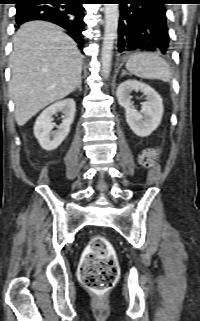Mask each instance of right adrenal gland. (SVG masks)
Masks as SVG:
<instances>
[{
  "label": "right adrenal gland",
  "mask_w": 200,
  "mask_h": 321,
  "mask_svg": "<svg viewBox=\"0 0 200 321\" xmlns=\"http://www.w3.org/2000/svg\"><path fill=\"white\" fill-rule=\"evenodd\" d=\"M81 85H82V79L79 81L77 87L73 91H76L77 89H79V91H82Z\"/></svg>",
  "instance_id": "2a0ac1e0"
}]
</instances>
